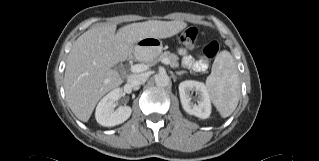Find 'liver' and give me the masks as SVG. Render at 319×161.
I'll return each mask as SVG.
<instances>
[{"label": "liver", "mask_w": 319, "mask_h": 161, "mask_svg": "<svg viewBox=\"0 0 319 161\" xmlns=\"http://www.w3.org/2000/svg\"><path fill=\"white\" fill-rule=\"evenodd\" d=\"M186 26L183 21L150 20L125 25L115 32L116 25L105 23L78 37L64 75L66 101L75 116L87 122L102 96L123 83L112 68L127 59L135 43L148 37L168 38Z\"/></svg>", "instance_id": "1"}]
</instances>
